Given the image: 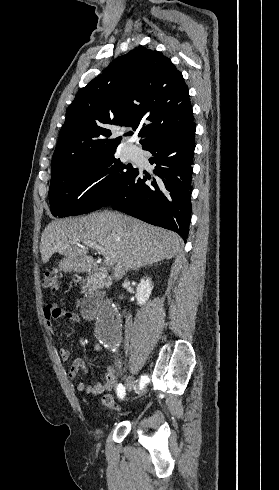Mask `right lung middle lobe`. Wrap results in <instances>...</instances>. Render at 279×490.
Masks as SVG:
<instances>
[{
	"mask_svg": "<svg viewBox=\"0 0 279 490\" xmlns=\"http://www.w3.org/2000/svg\"><path fill=\"white\" fill-rule=\"evenodd\" d=\"M115 149L51 179L49 201L56 217L86 214L103 207L138 169L114 157Z\"/></svg>",
	"mask_w": 279,
	"mask_h": 490,
	"instance_id": "1",
	"label": "right lung middle lobe"
}]
</instances>
